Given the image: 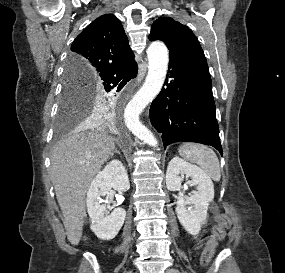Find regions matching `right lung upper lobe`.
<instances>
[{"label": "right lung upper lobe", "instance_id": "right-lung-upper-lobe-1", "mask_svg": "<svg viewBox=\"0 0 285 273\" xmlns=\"http://www.w3.org/2000/svg\"><path fill=\"white\" fill-rule=\"evenodd\" d=\"M134 59L120 20L105 14L89 24L73 41L67 69L82 79ZM104 104L101 108L107 107ZM100 110V109H99Z\"/></svg>", "mask_w": 285, "mask_h": 273}]
</instances>
